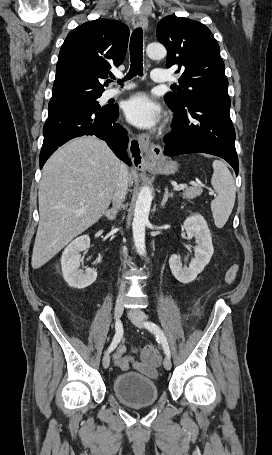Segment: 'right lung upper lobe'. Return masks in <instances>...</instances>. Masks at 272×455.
<instances>
[{
  "label": "right lung upper lobe",
  "instance_id": "right-lung-upper-lobe-1",
  "mask_svg": "<svg viewBox=\"0 0 272 455\" xmlns=\"http://www.w3.org/2000/svg\"><path fill=\"white\" fill-rule=\"evenodd\" d=\"M127 25L107 19L86 22L66 37L58 57L50 102L102 94L101 80L124 60Z\"/></svg>",
  "mask_w": 272,
  "mask_h": 455
}]
</instances>
